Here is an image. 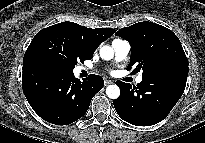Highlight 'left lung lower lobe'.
<instances>
[{
  "mask_svg": "<svg viewBox=\"0 0 205 143\" xmlns=\"http://www.w3.org/2000/svg\"><path fill=\"white\" fill-rule=\"evenodd\" d=\"M188 69L178 67L159 70L142 77L137 86L121 81V90L114 101L118 115L136 126H151L162 121L182 96Z\"/></svg>",
  "mask_w": 205,
  "mask_h": 143,
  "instance_id": "obj_1",
  "label": "left lung lower lobe"
}]
</instances>
